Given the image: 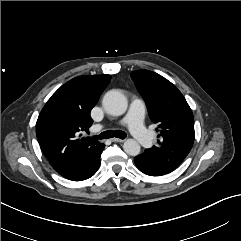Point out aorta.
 <instances>
[{
    "mask_svg": "<svg viewBox=\"0 0 241 241\" xmlns=\"http://www.w3.org/2000/svg\"><path fill=\"white\" fill-rule=\"evenodd\" d=\"M103 107L105 111L113 116L123 115L127 110L126 97L117 90L108 91L103 97ZM124 151L131 156H137L140 153V145L134 139H127L123 144Z\"/></svg>",
    "mask_w": 241,
    "mask_h": 241,
    "instance_id": "obj_1",
    "label": "aorta"
}]
</instances>
